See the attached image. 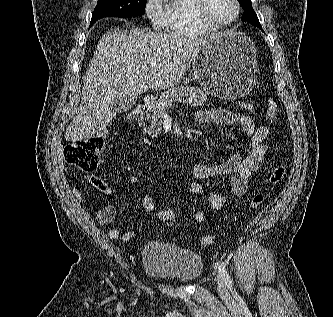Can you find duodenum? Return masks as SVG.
<instances>
[{"instance_id": "duodenum-1", "label": "duodenum", "mask_w": 333, "mask_h": 317, "mask_svg": "<svg viewBox=\"0 0 333 317\" xmlns=\"http://www.w3.org/2000/svg\"><path fill=\"white\" fill-rule=\"evenodd\" d=\"M154 97L152 96H147L144 98L142 103L133 111V113L130 116V121L131 122H136L140 120L144 114V111L152 107L154 104Z\"/></svg>"}]
</instances>
